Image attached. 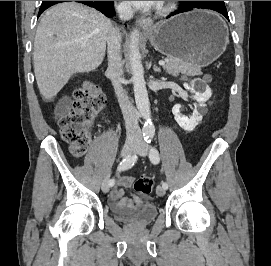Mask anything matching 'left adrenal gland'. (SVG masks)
<instances>
[{
  "label": "left adrenal gland",
  "mask_w": 271,
  "mask_h": 266,
  "mask_svg": "<svg viewBox=\"0 0 271 266\" xmlns=\"http://www.w3.org/2000/svg\"><path fill=\"white\" fill-rule=\"evenodd\" d=\"M153 70L155 71V72H161V69L160 68H158L157 66H155L154 65V67H153Z\"/></svg>",
  "instance_id": "1"
}]
</instances>
